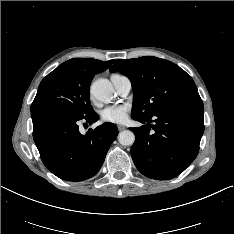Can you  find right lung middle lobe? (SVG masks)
Returning <instances> with one entry per match:
<instances>
[{"label":"right lung middle lobe","instance_id":"dd1d6c3e","mask_svg":"<svg viewBox=\"0 0 234 234\" xmlns=\"http://www.w3.org/2000/svg\"><path fill=\"white\" fill-rule=\"evenodd\" d=\"M90 84L68 67L60 65L41 81L30 110L59 109L77 116L92 113Z\"/></svg>","mask_w":234,"mask_h":234}]
</instances>
